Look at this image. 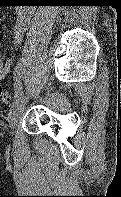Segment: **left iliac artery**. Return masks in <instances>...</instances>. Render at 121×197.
I'll use <instances>...</instances> for the list:
<instances>
[{
  "label": "left iliac artery",
  "instance_id": "left-iliac-artery-1",
  "mask_svg": "<svg viewBox=\"0 0 121 197\" xmlns=\"http://www.w3.org/2000/svg\"><path fill=\"white\" fill-rule=\"evenodd\" d=\"M26 65V59L23 57L15 67L14 70V89H15V96L13 103L11 105L12 111L21 101L23 96V86H22V74L24 67Z\"/></svg>",
  "mask_w": 121,
  "mask_h": 197
}]
</instances>
